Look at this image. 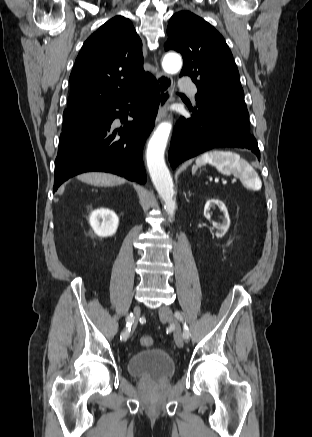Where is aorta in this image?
<instances>
[{
    "label": "aorta",
    "mask_w": 312,
    "mask_h": 437,
    "mask_svg": "<svg viewBox=\"0 0 312 437\" xmlns=\"http://www.w3.org/2000/svg\"><path fill=\"white\" fill-rule=\"evenodd\" d=\"M162 67L167 73H177L182 67L181 57L177 54H167L163 59ZM171 128L170 122H163L157 127L149 140L146 159L152 182L172 218L176 210V202L173 198L174 185L164 160V152Z\"/></svg>",
    "instance_id": "obj_1"
}]
</instances>
